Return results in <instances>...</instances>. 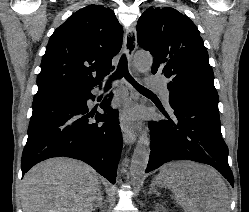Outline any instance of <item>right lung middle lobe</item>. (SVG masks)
<instances>
[{"label":"right lung middle lobe","mask_w":249,"mask_h":212,"mask_svg":"<svg viewBox=\"0 0 249 212\" xmlns=\"http://www.w3.org/2000/svg\"><path fill=\"white\" fill-rule=\"evenodd\" d=\"M67 93H70V92L54 93V94H50V95L43 96V97H54V96L64 95V94H67ZM39 98H42V97H39Z\"/></svg>","instance_id":"right-lung-middle-lobe-1"}]
</instances>
